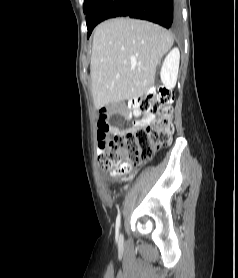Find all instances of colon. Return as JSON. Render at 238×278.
I'll return each mask as SVG.
<instances>
[{
  "label": "colon",
  "mask_w": 238,
  "mask_h": 278,
  "mask_svg": "<svg viewBox=\"0 0 238 278\" xmlns=\"http://www.w3.org/2000/svg\"><path fill=\"white\" fill-rule=\"evenodd\" d=\"M172 92L160 89L150 91L144 97L131 101V106L141 112L152 114L154 121L147 127L121 131L111 138L105 137L109 124L100 120L97 124L100 168L111 175L128 172L132 167L140 166L152 159L155 151L171 143L173 134Z\"/></svg>",
  "instance_id": "5ec220e1"
}]
</instances>
